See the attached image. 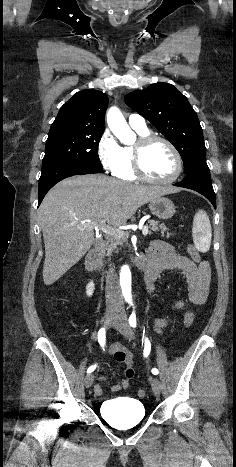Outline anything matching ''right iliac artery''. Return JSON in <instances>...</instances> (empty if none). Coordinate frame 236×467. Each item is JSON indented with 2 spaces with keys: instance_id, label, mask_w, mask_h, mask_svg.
<instances>
[{
  "instance_id": "82829eb1",
  "label": "right iliac artery",
  "mask_w": 236,
  "mask_h": 467,
  "mask_svg": "<svg viewBox=\"0 0 236 467\" xmlns=\"http://www.w3.org/2000/svg\"><path fill=\"white\" fill-rule=\"evenodd\" d=\"M98 342L101 345V347L104 348L105 342H106V332H105V328L103 327L98 331ZM95 368H96V365L90 366L87 369V373L93 372Z\"/></svg>"
}]
</instances>
